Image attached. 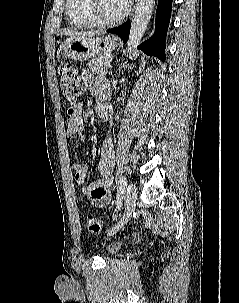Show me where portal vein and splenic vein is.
Instances as JSON below:
<instances>
[{"label":"portal vein and splenic vein","mask_w":239,"mask_h":303,"mask_svg":"<svg viewBox=\"0 0 239 303\" xmlns=\"http://www.w3.org/2000/svg\"><path fill=\"white\" fill-rule=\"evenodd\" d=\"M105 67H106L107 69L111 67V65H110V62H109V61L105 63Z\"/></svg>","instance_id":"18ae733b"}]
</instances>
